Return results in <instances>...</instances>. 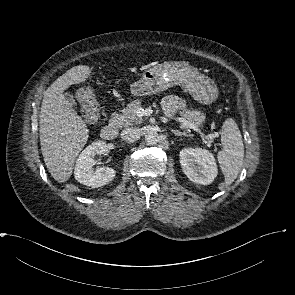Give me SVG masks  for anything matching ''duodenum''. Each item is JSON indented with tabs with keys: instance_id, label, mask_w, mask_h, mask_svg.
<instances>
[{
	"instance_id": "duodenum-1",
	"label": "duodenum",
	"mask_w": 295,
	"mask_h": 295,
	"mask_svg": "<svg viewBox=\"0 0 295 295\" xmlns=\"http://www.w3.org/2000/svg\"><path fill=\"white\" fill-rule=\"evenodd\" d=\"M118 133V126L116 122H112L111 124H108L103 127L101 130V136L105 140H113L116 138Z\"/></svg>"
}]
</instances>
